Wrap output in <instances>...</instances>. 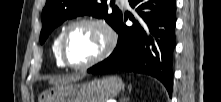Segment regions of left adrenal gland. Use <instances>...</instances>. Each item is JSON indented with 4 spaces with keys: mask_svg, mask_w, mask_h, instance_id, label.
<instances>
[{
    "mask_svg": "<svg viewBox=\"0 0 221 102\" xmlns=\"http://www.w3.org/2000/svg\"><path fill=\"white\" fill-rule=\"evenodd\" d=\"M125 101V99L124 98H122L121 100H120V102H124Z\"/></svg>",
    "mask_w": 221,
    "mask_h": 102,
    "instance_id": "1",
    "label": "left adrenal gland"
}]
</instances>
